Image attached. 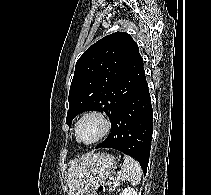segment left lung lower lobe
<instances>
[{
	"label": "left lung lower lobe",
	"instance_id": "1",
	"mask_svg": "<svg viewBox=\"0 0 211 195\" xmlns=\"http://www.w3.org/2000/svg\"><path fill=\"white\" fill-rule=\"evenodd\" d=\"M153 109L146 77L111 120V132L96 148H113L135 158L146 173L153 131Z\"/></svg>",
	"mask_w": 211,
	"mask_h": 195
}]
</instances>
